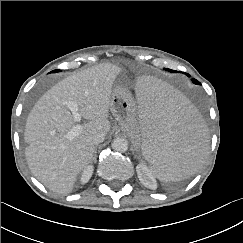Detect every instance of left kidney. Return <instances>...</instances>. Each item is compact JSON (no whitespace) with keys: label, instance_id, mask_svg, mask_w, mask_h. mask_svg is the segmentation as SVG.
I'll use <instances>...</instances> for the list:
<instances>
[{"label":"left kidney","instance_id":"5707ae66","mask_svg":"<svg viewBox=\"0 0 243 243\" xmlns=\"http://www.w3.org/2000/svg\"><path fill=\"white\" fill-rule=\"evenodd\" d=\"M138 178L141 183L149 189H156L157 183L151 170L144 164H139L136 167Z\"/></svg>","mask_w":243,"mask_h":243}]
</instances>
